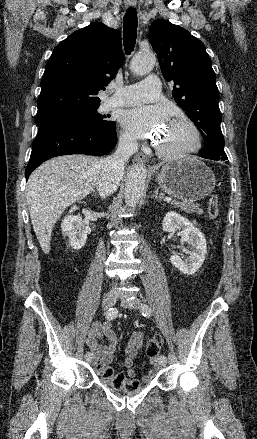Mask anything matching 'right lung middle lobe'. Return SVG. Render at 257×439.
<instances>
[{
	"label": "right lung middle lobe",
	"instance_id": "right-lung-middle-lobe-1",
	"mask_svg": "<svg viewBox=\"0 0 257 439\" xmlns=\"http://www.w3.org/2000/svg\"><path fill=\"white\" fill-rule=\"evenodd\" d=\"M99 106L74 110L61 115L49 117L42 120H36L37 125L56 120H73L91 125L93 127L112 129L116 123L107 119V116L97 112Z\"/></svg>",
	"mask_w": 257,
	"mask_h": 439
}]
</instances>
